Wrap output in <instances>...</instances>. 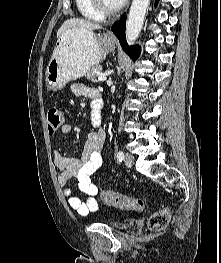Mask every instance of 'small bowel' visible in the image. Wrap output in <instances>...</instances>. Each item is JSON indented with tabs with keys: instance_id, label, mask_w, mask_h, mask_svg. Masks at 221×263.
I'll list each match as a JSON object with an SVG mask.
<instances>
[{
	"instance_id": "c3829d8e",
	"label": "small bowel",
	"mask_w": 221,
	"mask_h": 263,
	"mask_svg": "<svg viewBox=\"0 0 221 263\" xmlns=\"http://www.w3.org/2000/svg\"><path fill=\"white\" fill-rule=\"evenodd\" d=\"M72 92L78 97L90 98L93 108L97 99L100 98L97 89L84 83H74ZM93 124L94 129L87 135L81 158L66 157L61 155L59 150H53L54 164L59 170L57 181L62 188V193L67 198L69 207L83 216L96 212L99 207L98 187L92 183L91 176L101 168L103 163L105 131L99 122L94 120ZM72 131L73 127L70 124L64 123L61 126L63 134H70ZM71 178L77 179L78 188L86 195L84 200L74 196V190L68 184Z\"/></svg>"
}]
</instances>
